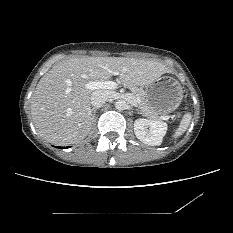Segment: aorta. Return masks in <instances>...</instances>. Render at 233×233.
Wrapping results in <instances>:
<instances>
[{"label": "aorta", "mask_w": 233, "mask_h": 233, "mask_svg": "<svg viewBox=\"0 0 233 233\" xmlns=\"http://www.w3.org/2000/svg\"><path fill=\"white\" fill-rule=\"evenodd\" d=\"M126 107H127V103H126L125 100H117V101L115 102V108H116L117 110H119V111L125 110Z\"/></svg>", "instance_id": "1"}]
</instances>
